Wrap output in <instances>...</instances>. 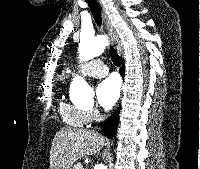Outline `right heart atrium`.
<instances>
[{
	"label": "right heart atrium",
	"mask_w": 200,
	"mask_h": 169,
	"mask_svg": "<svg viewBox=\"0 0 200 169\" xmlns=\"http://www.w3.org/2000/svg\"><path fill=\"white\" fill-rule=\"evenodd\" d=\"M84 113L86 117V124L93 123L97 121L100 117L99 110L94 106H91L84 110Z\"/></svg>",
	"instance_id": "right-heart-atrium-1"
}]
</instances>
